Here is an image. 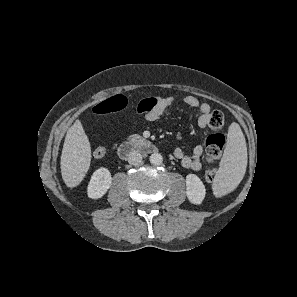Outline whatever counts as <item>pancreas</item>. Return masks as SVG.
Listing matches in <instances>:
<instances>
[{
  "mask_svg": "<svg viewBox=\"0 0 297 297\" xmlns=\"http://www.w3.org/2000/svg\"><path fill=\"white\" fill-rule=\"evenodd\" d=\"M142 139L143 138L138 134H134V135H131L129 137V140H130L131 143H136V142H138L139 140H142Z\"/></svg>",
  "mask_w": 297,
  "mask_h": 297,
  "instance_id": "pancreas-1",
  "label": "pancreas"
}]
</instances>
